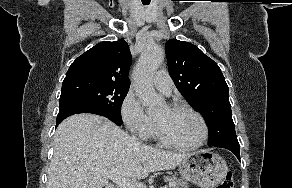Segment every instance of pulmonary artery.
<instances>
[{
    "label": "pulmonary artery",
    "mask_w": 292,
    "mask_h": 188,
    "mask_svg": "<svg viewBox=\"0 0 292 188\" xmlns=\"http://www.w3.org/2000/svg\"><path fill=\"white\" fill-rule=\"evenodd\" d=\"M153 84L160 92L169 95L173 89V80L165 70H159L154 78Z\"/></svg>",
    "instance_id": "e3ab8cb5"
}]
</instances>
